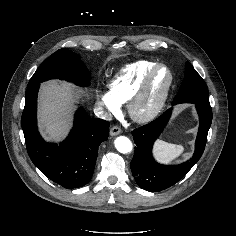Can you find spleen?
<instances>
[{"mask_svg": "<svg viewBox=\"0 0 236 236\" xmlns=\"http://www.w3.org/2000/svg\"><path fill=\"white\" fill-rule=\"evenodd\" d=\"M184 151L181 145L167 143L162 140H157L154 147L155 156L162 162H171L178 158Z\"/></svg>", "mask_w": 236, "mask_h": 236, "instance_id": "obj_1", "label": "spleen"}]
</instances>
